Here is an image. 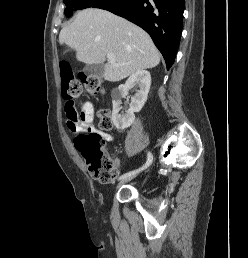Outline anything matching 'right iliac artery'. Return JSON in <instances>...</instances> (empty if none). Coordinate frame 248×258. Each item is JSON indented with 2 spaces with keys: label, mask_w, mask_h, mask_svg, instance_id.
Listing matches in <instances>:
<instances>
[{
  "label": "right iliac artery",
  "mask_w": 248,
  "mask_h": 258,
  "mask_svg": "<svg viewBox=\"0 0 248 258\" xmlns=\"http://www.w3.org/2000/svg\"><path fill=\"white\" fill-rule=\"evenodd\" d=\"M152 161H153V155H152L150 152H148V154H147V161H146V163H145L141 168L136 169V170H133V171H130V172H128V173H125V174H123L122 176H120L119 179H120V180H121V179H124V178H126V177H128V176L134 175V174H136V173H138V172L144 170L145 168H147L148 166H150V164L152 163Z\"/></svg>",
  "instance_id": "right-iliac-artery-1"
}]
</instances>
